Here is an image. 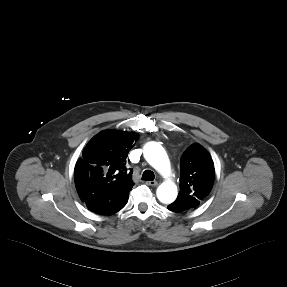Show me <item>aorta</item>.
Wrapping results in <instances>:
<instances>
[{"label": "aorta", "mask_w": 287, "mask_h": 287, "mask_svg": "<svg viewBox=\"0 0 287 287\" xmlns=\"http://www.w3.org/2000/svg\"><path fill=\"white\" fill-rule=\"evenodd\" d=\"M146 161L162 176L167 177L171 173V166L165 149L157 142H149L144 147ZM157 198L164 204H170L177 198V186L172 181H165L156 191Z\"/></svg>", "instance_id": "1"}]
</instances>
